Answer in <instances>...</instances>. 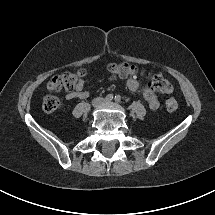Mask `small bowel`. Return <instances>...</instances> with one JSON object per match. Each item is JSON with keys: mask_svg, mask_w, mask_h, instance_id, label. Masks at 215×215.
<instances>
[{"mask_svg": "<svg viewBox=\"0 0 215 215\" xmlns=\"http://www.w3.org/2000/svg\"><path fill=\"white\" fill-rule=\"evenodd\" d=\"M84 82L85 79L82 77L79 82L77 83L74 90H71L66 93V99L72 100V99H85L89 96V92L87 90H84ZM139 87V82L135 77H131L127 80V88L130 91H136ZM143 97L146 100L148 106L152 110H156L160 106L159 99L156 95V93L149 87H146L143 90Z\"/></svg>", "mask_w": 215, "mask_h": 215, "instance_id": "small-bowel-1", "label": "small bowel"}]
</instances>
